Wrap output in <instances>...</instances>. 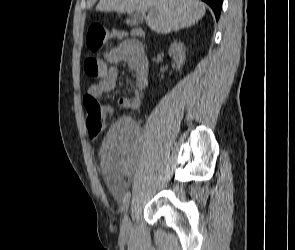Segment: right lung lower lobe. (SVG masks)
<instances>
[{"instance_id": "obj_1", "label": "right lung lower lobe", "mask_w": 295, "mask_h": 250, "mask_svg": "<svg viewBox=\"0 0 295 250\" xmlns=\"http://www.w3.org/2000/svg\"><path fill=\"white\" fill-rule=\"evenodd\" d=\"M206 2L214 11L215 17L218 20L222 8V1L223 0H202Z\"/></svg>"}]
</instances>
